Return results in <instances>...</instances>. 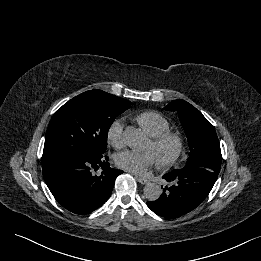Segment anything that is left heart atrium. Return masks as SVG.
<instances>
[{
    "label": "left heart atrium",
    "mask_w": 261,
    "mask_h": 261,
    "mask_svg": "<svg viewBox=\"0 0 261 261\" xmlns=\"http://www.w3.org/2000/svg\"><path fill=\"white\" fill-rule=\"evenodd\" d=\"M157 159L152 151L137 152L125 150L115 156L116 165L135 175H143L156 164Z\"/></svg>",
    "instance_id": "left-heart-atrium-1"
}]
</instances>
